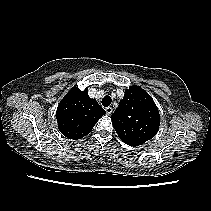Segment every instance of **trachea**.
<instances>
[{
    "mask_svg": "<svg viewBox=\"0 0 211 211\" xmlns=\"http://www.w3.org/2000/svg\"><path fill=\"white\" fill-rule=\"evenodd\" d=\"M112 102V99L110 96L106 95L103 99H102V105L104 107H108Z\"/></svg>",
    "mask_w": 211,
    "mask_h": 211,
    "instance_id": "1",
    "label": "trachea"
}]
</instances>
